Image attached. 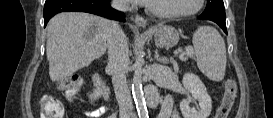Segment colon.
Instances as JSON below:
<instances>
[{
  "mask_svg": "<svg viewBox=\"0 0 273 118\" xmlns=\"http://www.w3.org/2000/svg\"><path fill=\"white\" fill-rule=\"evenodd\" d=\"M81 80L68 81L65 88L70 97H74ZM237 85L233 79H227L224 83V95L217 108L214 118H227L236 99ZM40 110L42 118H61L64 113L63 102L52 95H45L40 100Z\"/></svg>",
  "mask_w": 273,
  "mask_h": 118,
  "instance_id": "colon-1",
  "label": "colon"
}]
</instances>
